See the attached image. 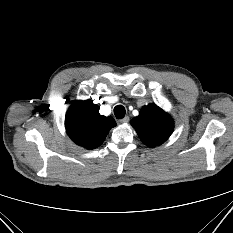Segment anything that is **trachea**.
I'll list each match as a JSON object with an SVG mask.
<instances>
[{"instance_id":"trachea-1","label":"trachea","mask_w":233,"mask_h":233,"mask_svg":"<svg viewBox=\"0 0 233 233\" xmlns=\"http://www.w3.org/2000/svg\"><path fill=\"white\" fill-rule=\"evenodd\" d=\"M125 113H126V110H125V108L122 105L115 106V108H114V114H115V117L117 119L124 118Z\"/></svg>"}]
</instances>
